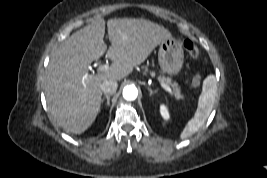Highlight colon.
<instances>
[{"label":"colon","instance_id":"5ec220e1","mask_svg":"<svg viewBox=\"0 0 267 178\" xmlns=\"http://www.w3.org/2000/svg\"><path fill=\"white\" fill-rule=\"evenodd\" d=\"M184 49L192 57L197 59L200 56V51L197 45L190 39H186L183 42ZM201 78L200 76H195L192 80L193 87H198L200 85Z\"/></svg>","mask_w":267,"mask_h":178}]
</instances>
